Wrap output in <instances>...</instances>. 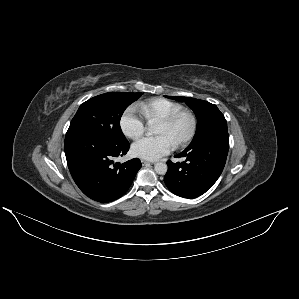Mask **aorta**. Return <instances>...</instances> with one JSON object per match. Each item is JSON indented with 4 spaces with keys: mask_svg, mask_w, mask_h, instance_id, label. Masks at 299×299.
<instances>
[{
    "mask_svg": "<svg viewBox=\"0 0 299 299\" xmlns=\"http://www.w3.org/2000/svg\"><path fill=\"white\" fill-rule=\"evenodd\" d=\"M167 164L164 163V162H157L155 165H154V170L157 174L159 175H164L166 174L167 172Z\"/></svg>",
    "mask_w": 299,
    "mask_h": 299,
    "instance_id": "obj_1",
    "label": "aorta"
}]
</instances>
